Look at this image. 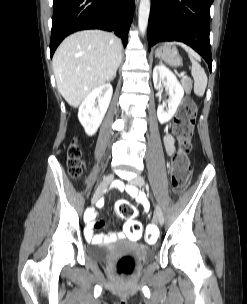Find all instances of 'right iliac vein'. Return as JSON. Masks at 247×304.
<instances>
[{
  "label": "right iliac vein",
  "instance_id": "63e3f726",
  "mask_svg": "<svg viewBox=\"0 0 247 304\" xmlns=\"http://www.w3.org/2000/svg\"><path fill=\"white\" fill-rule=\"evenodd\" d=\"M113 179H114V175L110 174L101 182V184L99 185L93 196L92 199L93 204H95L102 197V195L106 192L108 186L113 181Z\"/></svg>",
  "mask_w": 247,
  "mask_h": 304
}]
</instances>
